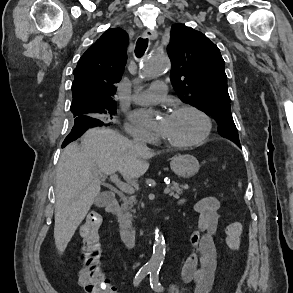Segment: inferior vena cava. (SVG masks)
<instances>
[{
    "mask_svg": "<svg viewBox=\"0 0 293 293\" xmlns=\"http://www.w3.org/2000/svg\"><path fill=\"white\" fill-rule=\"evenodd\" d=\"M133 144L136 146V147H139V148H146V145L145 143L142 141V139L140 137H138L137 135H134L133 136Z\"/></svg>",
    "mask_w": 293,
    "mask_h": 293,
    "instance_id": "inferior-vena-cava-1",
    "label": "inferior vena cava"
}]
</instances>
